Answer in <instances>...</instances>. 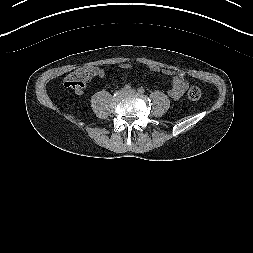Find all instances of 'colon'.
I'll return each instance as SVG.
<instances>
[{"label": "colon", "instance_id": "5ec220e1", "mask_svg": "<svg viewBox=\"0 0 253 253\" xmlns=\"http://www.w3.org/2000/svg\"><path fill=\"white\" fill-rule=\"evenodd\" d=\"M93 70L90 67H82L72 72L65 81V86L74 90L81 91L86 87L87 82L91 79ZM201 89L193 86L188 90V98L192 101L201 98Z\"/></svg>", "mask_w": 253, "mask_h": 253}]
</instances>
